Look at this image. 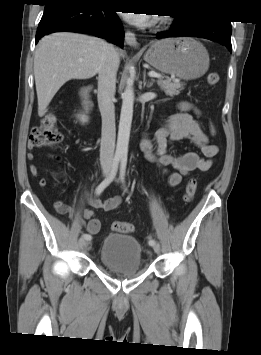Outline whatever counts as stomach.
I'll use <instances>...</instances> for the list:
<instances>
[{"label":"stomach","mask_w":261,"mask_h":355,"mask_svg":"<svg viewBox=\"0 0 261 355\" xmlns=\"http://www.w3.org/2000/svg\"><path fill=\"white\" fill-rule=\"evenodd\" d=\"M144 60L162 73L192 80L209 68V54L199 41L190 37L168 38L152 42Z\"/></svg>","instance_id":"obj_1"}]
</instances>
